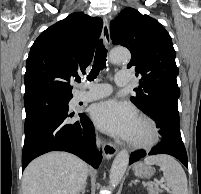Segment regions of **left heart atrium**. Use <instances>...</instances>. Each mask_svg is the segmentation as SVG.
<instances>
[{"label": "left heart atrium", "mask_w": 201, "mask_h": 194, "mask_svg": "<svg viewBox=\"0 0 201 194\" xmlns=\"http://www.w3.org/2000/svg\"><path fill=\"white\" fill-rule=\"evenodd\" d=\"M91 117L105 133L127 140H131L138 122L135 109L129 103L116 99L95 104Z\"/></svg>", "instance_id": "39dd6f15"}]
</instances>
